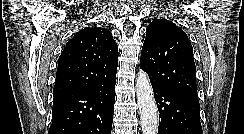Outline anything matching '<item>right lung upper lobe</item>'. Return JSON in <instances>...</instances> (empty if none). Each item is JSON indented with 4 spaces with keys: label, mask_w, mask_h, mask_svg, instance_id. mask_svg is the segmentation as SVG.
Masks as SVG:
<instances>
[{
    "label": "right lung upper lobe",
    "mask_w": 244,
    "mask_h": 134,
    "mask_svg": "<svg viewBox=\"0 0 244 134\" xmlns=\"http://www.w3.org/2000/svg\"><path fill=\"white\" fill-rule=\"evenodd\" d=\"M118 46L110 31L88 27L70 39L56 72L54 95L101 86L116 77Z\"/></svg>",
    "instance_id": "1"
}]
</instances>
